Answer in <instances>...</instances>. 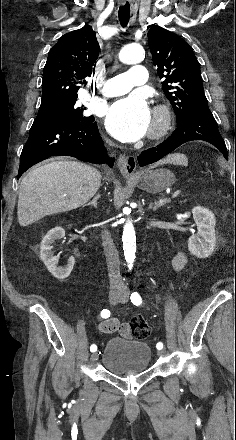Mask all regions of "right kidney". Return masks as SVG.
I'll return each mask as SVG.
<instances>
[{
	"label": "right kidney",
	"instance_id": "ca27d5eb",
	"mask_svg": "<svg viewBox=\"0 0 236 440\" xmlns=\"http://www.w3.org/2000/svg\"><path fill=\"white\" fill-rule=\"evenodd\" d=\"M65 236V230L61 227H55L48 231V233L42 239L40 245V258L47 267L48 271L57 279L63 280L71 274L75 259L71 256L68 259V263L65 267H58V258L53 255L52 244L55 240L61 239Z\"/></svg>",
	"mask_w": 236,
	"mask_h": 440
}]
</instances>
